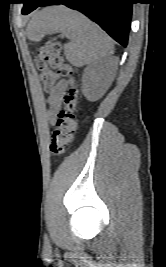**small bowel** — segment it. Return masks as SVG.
Instances as JSON below:
<instances>
[{"instance_id": "obj_1", "label": "small bowel", "mask_w": 166, "mask_h": 267, "mask_svg": "<svg viewBox=\"0 0 166 267\" xmlns=\"http://www.w3.org/2000/svg\"><path fill=\"white\" fill-rule=\"evenodd\" d=\"M68 82L66 80H60L56 86L51 90L49 97V120L53 122L55 111L60 107L61 96L64 90L67 88Z\"/></svg>"}]
</instances>
